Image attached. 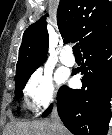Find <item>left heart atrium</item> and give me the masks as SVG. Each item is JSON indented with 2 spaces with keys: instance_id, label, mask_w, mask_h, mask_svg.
I'll return each instance as SVG.
<instances>
[{
  "instance_id": "obj_1",
  "label": "left heart atrium",
  "mask_w": 112,
  "mask_h": 135,
  "mask_svg": "<svg viewBox=\"0 0 112 135\" xmlns=\"http://www.w3.org/2000/svg\"><path fill=\"white\" fill-rule=\"evenodd\" d=\"M57 79L59 82H65L68 79V76L65 72H59L57 75Z\"/></svg>"
}]
</instances>
